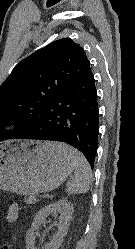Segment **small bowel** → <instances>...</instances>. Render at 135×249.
Here are the masks:
<instances>
[{"label": "small bowel", "mask_w": 135, "mask_h": 249, "mask_svg": "<svg viewBox=\"0 0 135 249\" xmlns=\"http://www.w3.org/2000/svg\"><path fill=\"white\" fill-rule=\"evenodd\" d=\"M18 206L16 204H13L9 207L8 213L6 216L7 221L12 222L14 221L18 216Z\"/></svg>", "instance_id": "obj_1"}]
</instances>
